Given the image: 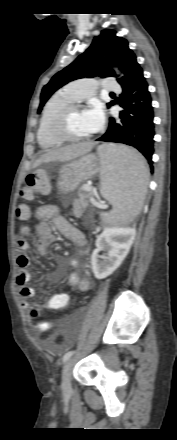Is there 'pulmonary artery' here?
I'll use <instances>...</instances> for the list:
<instances>
[{
  "instance_id": "e3ab8cb5",
  "label": "pulmonary artery",
  "mask_w": 177,
  "mask_h": 440,
  "mask_svg": "<svg viewBox=\"0 0 177 440\" xmlns=\"http://www.w3.org/2000/svg\"><path fill=\"white\" fill-rule=\"evenodd\" d=\"M101 85L105 91L119 93L121 88L112 77H106L104 81L99 82L93 78H83L70 83L66 90L76 100H84L95 94L97 87Z\"/></svg>"
}]
</instances>
